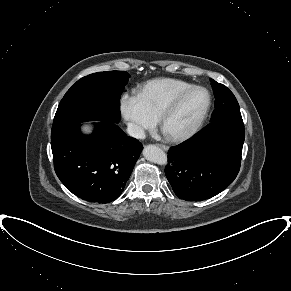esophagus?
<instances>
[{
    "label": "esophagus",
    "instance_id": "esophagus-1",
    "mask_svg": "<svg viewBox=\"0 0 291 291\" xmlns=\"http://www.w3.org/2000/svg\"><path fill=\"white\" fill-rule=\"evenodd\" d=\"M158 147H160L161 149L167 151L168 150V146L163 145V144H157Z\"/></svg>",
    "mask_w": 291,
    "mask_h": 291
}]
</instances>
